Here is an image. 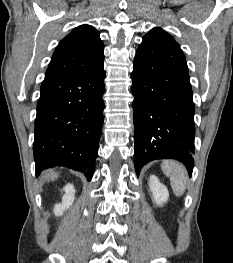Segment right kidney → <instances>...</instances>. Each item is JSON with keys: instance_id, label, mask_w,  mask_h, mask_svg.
Listing matches in <instances>:
<instances>
[{"instance_id": "ca27d5eb", "label": "right kidney", "mask_w": 233, "mask_h": 263, "mask_svg": "<svg viewBox=\"0 0 233 263\" xmlns=\"http://www.w3.org/2000/svg\"><path fill=\"white\" fill-rule=\"evenodd\" d=\"M65 194L62 198V202L60 204H56L54 207V213L56 216H60L63 214L65 210H67L74 202L75 188L72 184H67L63 188Z\"/></svg>"}]
</instances>
